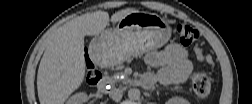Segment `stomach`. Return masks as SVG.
Instances as JSON below:
<instances>
[{
  "label": "stomach",
  "instance_id": "0dacf381",
  "mask_svg": "<svg viewBox=\"0 0 252 104\" xmlns=\"http://www.w3.org/2000/svg\"><path fill=\"white\" fill-rule=\"evenodd\" d=\"M171 28L155 13L136 11L120 20L114 29H107L92 41L94 54L109 65L128 57L141 56L168 42Z\"/></svg>",
  "mask_w": 252,
  "mask_h": 104
}]
</instances>
